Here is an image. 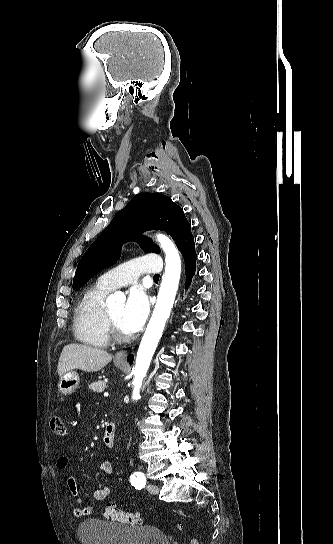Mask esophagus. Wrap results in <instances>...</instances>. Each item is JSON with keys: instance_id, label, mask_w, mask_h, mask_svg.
Masks as SVG:
<instances>
[{"instance_id": "obj_1", "label": "esophagus", "mask_w": 333, "mask_h": 544, "mask_svg": "<svg viewBox=\"0 0 333 544\" xmlns=\"http://www.w3.org/2000/svg\"><path fill=\"white\" fill-rule=\"evenodd\" d=\"M126 357H127V351H125V350L118 351L115 354V360H118V361L125 362Z\"/></svg>"}]
</instances>
